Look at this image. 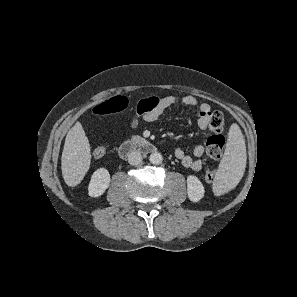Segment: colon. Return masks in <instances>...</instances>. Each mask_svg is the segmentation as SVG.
Listing matches in <instances>:
<instances>
[{"mask_svg":"<svg viewBox=\"0 0 297 297\" xmlns=\"http://www.w3.org/2000/svg\"><path fill=\"white\" fill-rule=\"evenodd\" d=\"M154 101L149 99H142L136 105L137 114H143L148 111L153 105ZM128 106V100L124 96H114L94 107L93 112L96 115L104 116L109 114L120 113L124 111ZM224 125V117L221 112L213 111L209 114L208 127L211 130V135L206 140V154L207 158L214 162L220 159L223 147L225 144V138L221 131ZM93 155L97 158L105 155L104 147H97ZM215 170L209 169L205 172V180L208 183H212L215 179Z\"/></svg>","mask_w":297,"mask_h":297,"instance_id":"obj_1","label":"colon"}]
</instances>
